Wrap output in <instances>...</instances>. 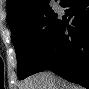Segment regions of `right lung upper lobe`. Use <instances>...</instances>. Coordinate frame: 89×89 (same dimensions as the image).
Masks as SVG:
<instances>
[{
  "label": "right lung upper lobe",
  "instance_id": "1",
  "mask_svg": "<svg viewBox=\"0 0 89 89\" xmlns=\"http://www.w3.org/2000/svg\"><path fill=\"white\" fill-rule=\"evenodd\" d=\"M49 0H9L7 3L8 24L12 27L22 18L43 11Z\"/></svg>",
  "mask_w": 89,
  "mask_h": 89
}]
</instances>
